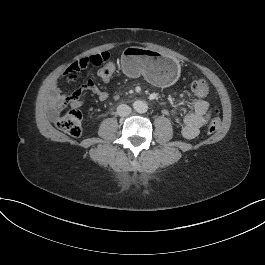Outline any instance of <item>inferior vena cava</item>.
<instances>
[{"mask_svg": "<svg viewBox=\"0 0 265 265\" xmlns=\"http://www.w3.org/2000/svg\"><path fill=\"white\" fill-rule=\"evenodd\" d=\"M132 112V109L130 106L126 105V104H121L117 107V113L119 116H127Z\"/></svg>", "mask_w": 265, "mask_h": 265, "instance_id": "inferior-vena-cava-1", "label": "inferior vena cava"}]
</instances>
